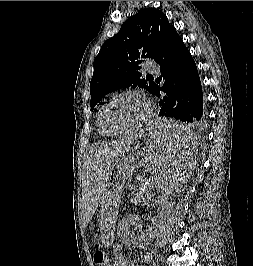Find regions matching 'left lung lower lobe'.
Segmentation results:
<instances>
[{"mask_svg":"<svg viewBox=\"0 0 253 266\" xmlns=\"http://www.w3.org/2000/svg\"><path fill=\"white\" fill-rule=\"evenodd\" d=\"M156 62L160 65L163 79V85L155 83L152 90L160 98L159 116L178 120L159 130L169 140L190 141L205 124L203 93L196 64L176 29Z\"/></svg>","mask_w":253,"mask_h":266,"instance_id":"obj_1","label":"left lung lower lobe"}]
</instances>
